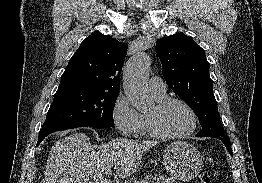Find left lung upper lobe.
<instances>
[{
    "label": "left lung upper lobe",
    "mask_w": 262,
    "mask_h": 183,
    "mask_svg": "<svg viewBox=\"0 0 262 183\" xmlns=\"http://www.w3.org/2000/svg\"><path fill=\"white\" fill-rule=\"evenodd\" d=\"M156 52L167 85L198 116L202 130L196 136L225 138L204 50L191 37L177 33L158 39Z\"/></svg>",
    "instance_id": "obj_1"
}]
</instances>
